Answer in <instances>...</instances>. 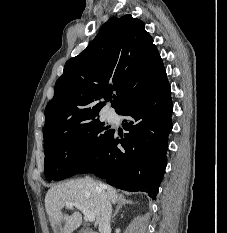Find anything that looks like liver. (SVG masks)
Instances as JSON below:
<instances>
[{"mask_svg": "<svg viewBox=\"0 0 227 233\" xmlns=\"http://www.w3.org/2000/svg\"><path fill=\"white\" fill-rule=\"evenodd\" d=\"M101 186L107 197L113 204L118 202L119 195L115 188L106 184H99L91 178L72 180L51 187L45 196V208L54 233H72L82 223L80 212L72 215L63 214L62 209L66 202H77L94 213L95 226L101 219ZM62 223H64L62 227Z\"/></svg>", "mask_w": 227, "mask_h": 233, "instance_id": "6515ba94", "label": "liver"}]
</instances>
